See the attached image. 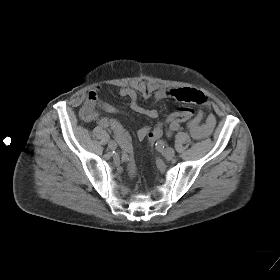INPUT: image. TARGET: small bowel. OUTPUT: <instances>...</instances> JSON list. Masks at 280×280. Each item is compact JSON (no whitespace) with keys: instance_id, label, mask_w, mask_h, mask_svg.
Segmentation results:
<instances>
[{"instance_id":"1","label":"small bowel","mask_w":280,"mask_h":280,"mask_svg":"<svg viewBox=\"0 0 280 280\" xmlns=\"http://www.w3.org/2000/svg\"><path fill=\"white\" fill-rule=\"evenodd\" d=\"M101 88L95 87L92 89L80 109V116L85 122H92L99 118L102 111L109 113H120L121 110L115 106H112L106 102L99 99V92ZM120 97L128 98L130 100L131 109L149 118H156L158 113L155 108H144L140 106L137 102V92L135 89L130 87H122L118 90ZM155 99H174L184 103H193L203 107H208L209 102L207 97L200 91L191 88H178V89H168L160 90L155 92ZM216 125V118L213 114H208L204 118V113L202 110H197L190 119L187 120V129L194 139L201 140L211 135ZM111 127L114 131L119 132L126 138H128L126 132L122 129L120 124L112 120ZM149 127L141 128L137 136L140 140H143L149 133ZM128 171L131 175H135L136 167L133 160L128 162Z\"/></svg>"}]
</instances>
